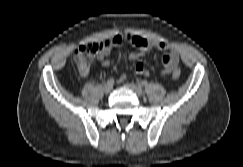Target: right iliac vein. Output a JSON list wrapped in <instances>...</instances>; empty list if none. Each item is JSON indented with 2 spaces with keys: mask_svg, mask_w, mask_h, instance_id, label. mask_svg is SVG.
<instances>
[{
  "mask_svg": "<svg viewBox=\"0 0 243 167\" xmlns=\"http://www.w3.org/2000/svg\"><path fill=\"white\" fill-rule=\"evenodd\" d=\"M111 90H112V85L105 84V85L103 86V91H104L105 93H110Z\"/></svg>",
  "mask_w": 243,
  "mask_h": 167,
  "instance_id": "1",
  "label": "right iliac vein"
}]
</instances>
